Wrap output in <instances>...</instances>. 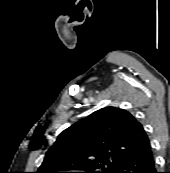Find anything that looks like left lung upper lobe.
<instances>
[{
  "instance_id": "5c2ea615",
  "label": "left lung upper lobe",
  "mask_w": 170,
  "mask_h": 173,
  "mask_svg": "<svg viewBox=\"0 0 170 173\" xmlns=\"http://www.w3.org/2000/svg\"><path fill=\"white\" fill-rule=\"evenodd\" d=\"M149 145L142 125L128 111L105 107L64 130L36 173H114L128 156Z\"/></svg>"
}]
</instances>
